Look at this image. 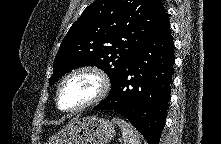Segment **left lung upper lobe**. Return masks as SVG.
I'll list each match as a JSON object with an SVG mask.
<instances>
[{"instance_id": "left-lung-upper-lobe-1", "label": "left lung upper lobe", "mask_w": 221, "mask_h": 144, "mask_svg": "<svg viewBox=\"0 0 221 144\" xmlns=\"http://www.w3.org/2000/svg\"><path fill=\"white\" fill-rule=\"evenodd\" d=\"M166 16L162 0H97L64 37L54 60L52 85L68 71L96 66L111 86L122 68L147 42Z\"/></svg>"}]
</instances>
